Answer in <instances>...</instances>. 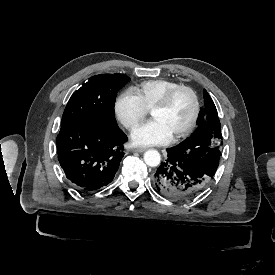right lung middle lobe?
<instances>
[{"mask_svg": "<svg viewBox=\"0 0 275 275\" xmlns=\"http://www.w3.org/2000/svg\"><path fill=\"white\" fill-rule=\"evenodd\" d=\"M123 74L93 76L69 99L61 123L84 122L101 130L118 127L114 103L118 90L129 82Z\"/></svg>", "mask_w": 275, "mask_h": 275, "instance_id": "right-lung-middle-lobe-1", "label": "right lung middle lobe"}]
</instances>
